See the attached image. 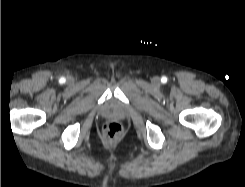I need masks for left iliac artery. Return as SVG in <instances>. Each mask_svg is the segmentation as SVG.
Listing matches in <instances>:
<instances>
[{
  "instance_id": "obj_1",
  "label": "left iliac artery",
  "mask_w": 245,
  "mask_h": 187,
  "mask_svg": "<svg viewBox=\"0 0 245 187\" xmlns=\"http://www.w3.org/2000/svg\"><path fill=\"white\" fill-rule=\"evenodd\" d=\"M166 80H167V79H166L165 77L162 78V82H166Z\"/></svg>"
}]
</instances>
